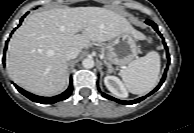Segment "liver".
Segmentation results:
<instances>
[{"mask_svg":"<svg viewBox=\"0 0 194 133\" xmlns=\"http://www.w3.org/2000/svg\"><path fill=\"white\" fill-rule=\"evenodd\" d=\"M129 32L136 39L145 36L126 18L100 7L58 8L30 15L9 41L6 68L22 88L52 96L67 84L65 51L80 50L90 42H105Z\"/></svg>","mask_w":194,"mask_h":133,"instance_id":"1","label":"liver"}]
</instances>
